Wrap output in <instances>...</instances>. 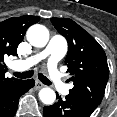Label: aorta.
I'll return each mask as SVG.
<instances>
[{
    "instance_id": "762f6f07",
    "label": "aorta",
    "mask_w": 117,
    "mask_h": 117,
    "mask_svg": "<svg viewBox=\"0 0 117 117\" xmlns=\"http://www.w3.org/2000/svg\"><path fill=\"white\" fill-rule=\"evenodd\" d=\"M26 37L31 45L41 48L48 43L49 31L45 26L35 24L27 30ZM39 98L44 104L51 105L56 100V94L51 88L45 87L39 91Z\"/></svg>"
}]
</instances>
